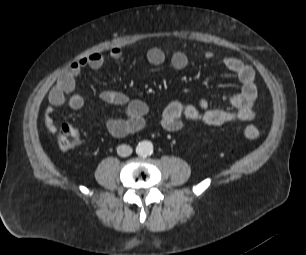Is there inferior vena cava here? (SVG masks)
Instances as JSON below:
<instances>
[{
    "mask_svg": "<svg viewBox=\"0 0 306 255\" xmlns=\"http://www.w3.org/2000/svg\"><path fill=\"white\" fill-rule=\"evenodd\" d=\"M132 148L129 145H120L117 147V154L121 157H127L131 155Z\"/></svg>",
    "mask_w": 306,
    "mask_h": 255,
    "instance_id": "1",
    "label": "inferior vena cava"
}]
</instances>
